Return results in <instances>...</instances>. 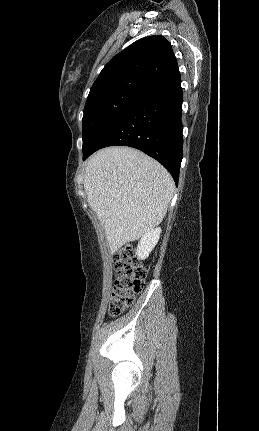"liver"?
I'll list each match as a JSON object with an SVG mask.
<instances>
[{"label":"liver","mask_w":259,"mask_h":431,"mask_svg":"<svg viewBox=\"0 0 259 431\" xmlns=\"http://www.w3.org/2000/svg\"><path fill=\"white\" fill-rule=\"evenodd\" d=\"M84 189L111 253L138 240L165 217L174 181L156 160L130 147H108L85 165Z\"/></svg>","instance_id":"1"}]
</instances>
